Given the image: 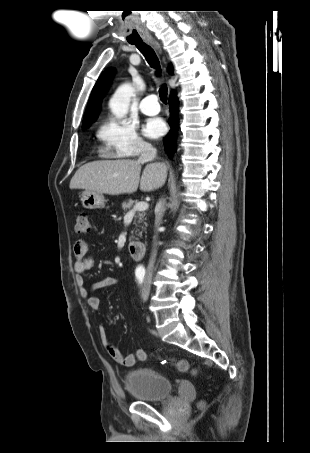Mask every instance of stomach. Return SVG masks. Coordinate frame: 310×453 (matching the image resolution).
Segmentation results:
<instances>
[{
  "label": "stomach",
  "instance_id": "1",
  "mask_svg": "<svg viewBox=\"0 0 310 453\" xmlns=\"http://www.w3.org/2000/svg\"><path fill=\"white\" fill-rule=\"evenodd\" d=\"M81 202L86 209L103 208L105 206L103 194L94 191H84L81 195Z\"/></svg>",
  "mask_w": 310,
  "mask_h": 453
}]
</instances>
